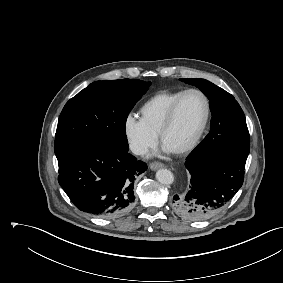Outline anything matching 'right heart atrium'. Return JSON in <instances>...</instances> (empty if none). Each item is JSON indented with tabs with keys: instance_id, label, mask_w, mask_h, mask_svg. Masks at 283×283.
Returning a JSON list of instances; mask_svg holds the SVG:
<instances>
[{
	"instance_id": "d8ad5b80",
	"label": "right heart atrium",
	"mask_w": 283,
	"mask_h": 283,
	"mask_svg": "<svg viewBox=\"0 0 283 283\" xmlns=\"http://www.w3.org/2000/svg\"><path fill=\"white\" fill-rule=\"evenodd\" d=\"M123 129L128 145L136 155H144L157 141V135L146 127L141 118L133 114L126 116Z\"/></svg>"
}]
</instances>
